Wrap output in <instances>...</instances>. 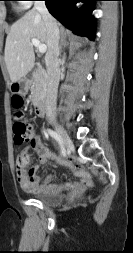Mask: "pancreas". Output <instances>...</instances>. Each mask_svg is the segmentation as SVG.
Returning a JSON list of instances; mask_svg holds the SVG:
<instances>
[{
    "label": "pancreas",
    "mask_w": 133,
    "mask_h": 253,
    "mask_svg": "<svg viewBox=\"0 0 133 253\" xmlns=\"http://www.w3.org/2000/svg\"><path fill=\"white\" fill-rule=\"evenodd\" d=\"M31 87V95L33 103H37L44 95L47 85V75L42 69H37L33 73V82Z\"/></svg>",
    "instance_id": "cf45deb5"
}]
</instances>
